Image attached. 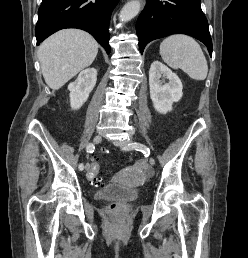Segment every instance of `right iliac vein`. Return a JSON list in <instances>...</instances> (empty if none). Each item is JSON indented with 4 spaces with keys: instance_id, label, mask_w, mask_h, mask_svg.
<instances>
[{
    "instance_id": "63e3f726",
    "label": "right iliac vein",
    "mask_w": 248,
    "mask_h": 258,
    "mask_svg": "<svg viewBox=\"0 0 248 258\" xmlns=\"http://www.w3.org/2000/svg\"><path fill=\"white\" fill-rule=\"evenodd\" d=\"M102 141V136L101 135H96L93 139V142L95 144H99ZM85 170L88 171L89 170V165L87 164L85 167Z\"/></svg>"
}]
</instances>
